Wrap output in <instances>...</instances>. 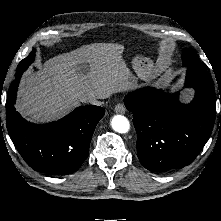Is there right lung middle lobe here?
Masks as SVG:
<instances>
[{"mask_svg":"<svg viewBox=\"0 0 221 221\" xmlns=\"http://www.w3.org/2000/svg\"><path fill=\"white\" fill-rule=\"evenodd\" d=\"M34 58H35V49L32 50V52L28 55V57H26L19 63L16 69L15 78L20 76L22 72L28 68V66L33 62Z\"/></svg>","mask_w":221,"mask_h":221,"instance_id":"dd1d6c3e","label":"right lung middle lobe"}]
</instances>
